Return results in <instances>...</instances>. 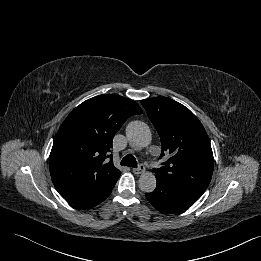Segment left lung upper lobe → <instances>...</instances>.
Segmentation results:
<instances>
[{
	"label": "left lung upper lobe",
	"mask_w": 261,
	"mask_h": 261,
	"mask_svg": "<svg viewBox=\"0 0 261 261\" xmlns=\"http://www.w3.org/2000/svg\"><path fill=\"white\" fill-rule=\"evenodd\" d=\"M161 139V156L169 158L156 169V179L205 192L214 167L209 138L198 118L170 98L141 101Z\"/></svg>",
	"instance_id": "1"
}]
</instances>
